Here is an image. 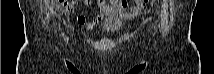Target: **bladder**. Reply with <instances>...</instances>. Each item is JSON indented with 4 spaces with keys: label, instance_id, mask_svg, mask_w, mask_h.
Wrapping results in <instances>:
<instances>
[{
    "label": "bladder",
    "instance_id": "31cf9c89",
    "mask_svg": "<svg viewBox=\"0 0 214 74\" xmlns=\"http://www.w3.org/2000/svg\"><path fill=\"white\" fill-rule=\"evenodd\" d=\"M102 27L109 33H116L121 27V21L116 18H108L104 21Z\"/></svg>",
    "mask_w": 214,
    "mask_h": 74
}]
</instances>
